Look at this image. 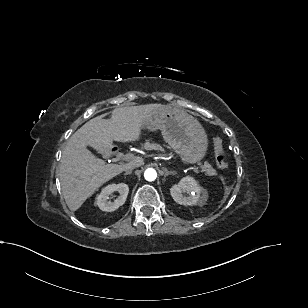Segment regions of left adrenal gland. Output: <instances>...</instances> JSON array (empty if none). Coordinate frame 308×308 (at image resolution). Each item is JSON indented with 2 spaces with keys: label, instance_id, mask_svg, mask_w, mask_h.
I'll return each mask as SVG.
<instances>
[{
  "label": "left adrenal gland",
  "instance_id": "left-adrenal-gland-1",
  "mask_svg": "<svg viewBox=\"0 0 308 308\" xmlns=\"http://www.w3.org/2000/svg\"><path fill=\"white\" fill-rule=\"evenodd\" d=\"M164 170V176H168V175H175L176 172L175 171H169L167 168H163Z\"/></svg>",
  "mask_w": 308,
  "mask_h": 308
}]
</instances>
